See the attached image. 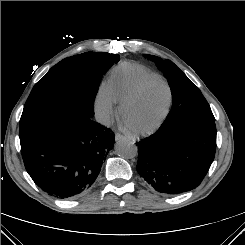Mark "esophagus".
I'll use <instances>...</instances> for the list:
<instances>
[{"label":"esophagus","instance_id":"1","mask_svg":"<svg viewBox=\"0 0 245 245\" xmlns=\"http://www.w3.org/2000/svg\"><path fill=\"white\" fill-rule=\"evenodd\" d=\"M126 137L124 135H122L121 133H116L115 134V140L116 141H119V140H122V139H125Z\"/></svg>","mask_w":245,"mask_h":245}]
</instances>
